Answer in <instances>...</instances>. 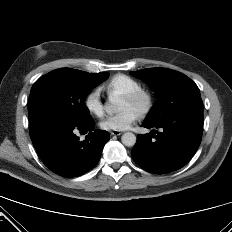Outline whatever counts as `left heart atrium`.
<instances>
[{"mask_svg": "<svg viewBox=\"0 0 232 232\" xmlns=\"http://www.w3.org/2000/svg\"><path fill=\"white\" fill-rule=\"evenodd\" d=\"M139 118V113L134 109H126L118 114L105 118L100 126L107 131H124L131 128L133 123Z\"/></svg>", "mask_w": 232, "mask_h": 232, "instance_id": "1", "label": "left heart atrium"}]
</instances>
